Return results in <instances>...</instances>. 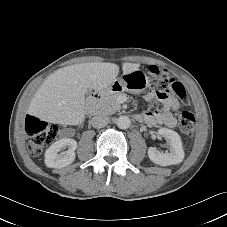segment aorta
Instances as JSON below:
<instances>
[{
    "label": "aorta",
    "instance_id": "762f6f07",
    "mask_svg": "<svg viewBox=\"0 0 227 227\" xmlns=\"http://www.w3.org/2000/svg\"><path fill=\"white\" fill-rule=\"evenodd\" d=\"M116 124L120 129H127L131 125V120L128 116H120L117 119Z\"/></svg>",
    "mask_w": 227,
    "mask_h": 227
}]
</instances>
